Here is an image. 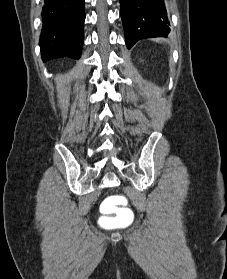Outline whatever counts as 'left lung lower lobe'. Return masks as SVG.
<instances>
[{
    "instance_id": "1",
    "label": "left lung lower lobe",
    "mask_w": 227,
    "mask_h": 279,
    "mask_svg": "<svg viewBox=\"0 0 227 279\" xmlns=\"http://www.w3.org/2000/svg\"><path fill=\"white\" fill-rule=\"evenodd\" d=\"M127 48L138 40L170 32L164 0H119Z\"/></svg>"
}]
</instances>
